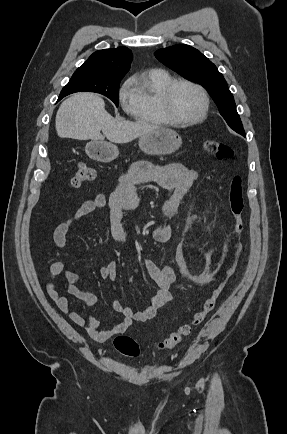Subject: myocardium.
<instances>
[{"label": "myocardium", "instance_id": "f54148a6", "mask_svg": "<svg viewBox=\"0 0 287 434\" xmlns=\"http://www.w3.org/2000/svg\"><path fill=\"white\" fill-rule=\"evenodd\" d=\"M179 84L189 85L195 88L201 95L202 103H203L202 109L200 113L192 119H179L174 115L172 111V107H171L172 92L174 88ZM159 103H160L161 111L165 116V118L168 120L169 123L174 125H193L199 123L206 118L209 110V96L206 90L204 89V87L192 80L185 79V78H174L170 82H168L164 86L161 92Z\"/></svg>", "mask_w": 287, "mask_h": 434}]
</instances>
